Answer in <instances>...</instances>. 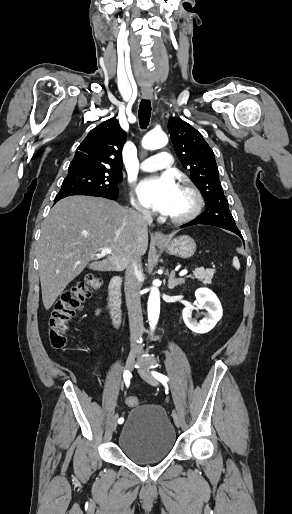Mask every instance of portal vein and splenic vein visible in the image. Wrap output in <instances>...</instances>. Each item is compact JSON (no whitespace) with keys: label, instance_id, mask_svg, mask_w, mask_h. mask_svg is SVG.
<instances>
[{"label":"portal vein and splenic vein","instance_id":"obj_1","mask_svg":"<svg viewBox=\"0 0 292 514\" xmlns=\"http://www.w3.org/2000/svg\"><path fill=\"white\" fill-rule=\"evenodd\" d=\"M101 254H112V248H102ZM185 274H187V270L180 272L179 276H185Z\"/></svg>","mask_w":292,"mask_h":514}]
</instances>
